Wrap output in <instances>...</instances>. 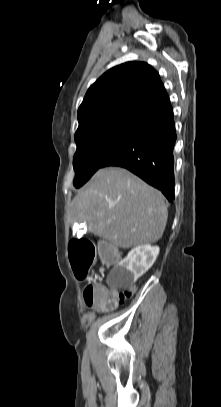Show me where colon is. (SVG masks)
Listing matches in <instances>:
<instances>
[{
    "label": "colon",
    "mask_w": 221,
    "mask_h": 407,
    "mask_svg": "<svg viewBox=\"0 0 221 407\" xmlns=\"http://www.w3.org/2000/svg\"><path fill=\"white\" fill-rule=\"evenodd\" d=\"M106 246H99L98 253L102 255L104 267L113 266V261H120L121 247L111 246V242H106ZM70 261L76 276L85 279L89 268L96 259L97 250L95 245L88 239L76 238L70 242ZM135 291H111L101 284H88L84 289V300L88 306H94L104 311L113 310L119 303L129 299Z\"/></svg>",
    "instance_id": "1"
}]
</instances>
